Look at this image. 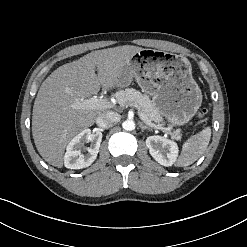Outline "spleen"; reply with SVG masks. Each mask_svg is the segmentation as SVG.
Listing matches in <instances>:
<instances>
[{"label":"spleen","instance_id":"1","mask_svg":"<svg viewBox=\"0 0 247 247\" xmlns=\"http://www.w3.org/2000/svg\"><path fill=\"white\" fill-rule=\"evenodd\" d=\"M211 138V128L206 127L191 136L182 146L181 154L176 162L178 167L189 166L194 163L207 149Z\"/></svg>","mask_w":247,"mask_h":247}]
</instances>
